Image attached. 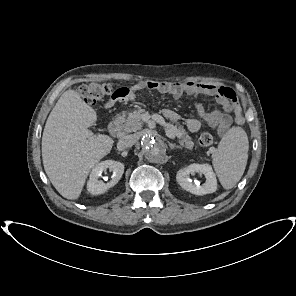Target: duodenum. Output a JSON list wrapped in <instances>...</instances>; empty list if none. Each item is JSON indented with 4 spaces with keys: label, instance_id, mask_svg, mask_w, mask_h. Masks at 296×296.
<instances>
[{
    "label": "duodenum",
    "instance_id": "410a0bca",
    "mask_svg": "<svg viewBox=\"0 0 296 296\" xmlns=\"http://www.w3.org/2000/svg\"><path fill=\"white\" fill-rule=\"evenodd\" d=\"M119 129H120L119 119L116 117L111 119V121L109 122V125H108V130H109L110 134L112 136H116L119 133Z\"/></svg>",
    "mask_w": 296,
    "mask_h": 296
}]
</instances>
